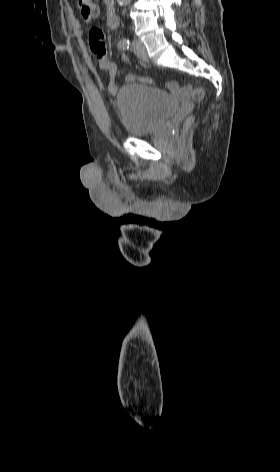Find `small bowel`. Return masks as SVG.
I'll use <instances>...</instances> for the list:
<instances>
[{"label":"small bowel","instance_id":"obj_1","mask_svg":"<svg viewBox=\"0 0 280 472\" xmlns=\"http://www.w3.org/2000/svg\"><path fill=\"white\" fill-rule=\"evenodd\" d=\"M105 35L102 29L93 27L89 31V45L90 50L96 58L97 66L100 70L106 72L109 77L107 89L110 95L117 93L116 77L118 74V67L116 63L108 59L105 49ZM125 63H129L127 57H122ZM134 79L133 74H128L125 77L126 82H130ZM174 87V86H171Z\"/></svg>","mask_w":280,"mask_h":472}]
</instances>
